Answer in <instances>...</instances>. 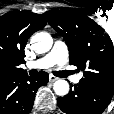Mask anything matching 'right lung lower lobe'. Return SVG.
<instances>
[{"label":"right lung lower lobe","instance_id":"1","mask_svg":"<svg viewBox=\"0 0 114 114\" xmlns=\"http://www.w3.org/2000/svg\"><path fill=\"white\" fill-rule=\"evenodd\" d=\"M48 80L46 72H39L34 77L24 73L0 79V114H28L33 108L37 89Z\"/></svg>","mask_w":114,"mask_h":114}]
</instances>
